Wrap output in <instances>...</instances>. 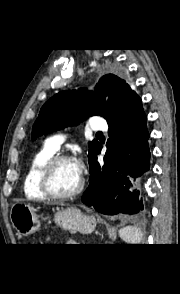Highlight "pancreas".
I'll list each match as a JSON object with an SVG mask.
<instances>
[{"mask_svg":"<svg viewBox=\"0 0 180 294\" xmlns=\"http://www.w3.org/2000/svg\"><path fill=\"white\" fill-rule=\"evenodd\" d=\"M67 244H75V242H71V241H69V242H67Z\"/></svg>","mask_w":180,"mask_h":294,"instance_id":"pancreas-1","label":"pancreas"}]
</instances>
